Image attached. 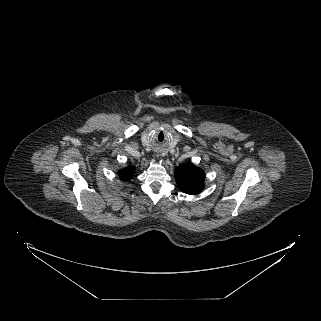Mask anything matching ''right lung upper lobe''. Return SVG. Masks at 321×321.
Returning <instances> with one entry per match:
<instances>
[{
    "mask_svg": "<svg viewBox=\"0 0 321 321\" xmlns=\"http://www.w3.org/2000/svg\"><path fill=\"white\" fill-rule=\"evenodd\" d=\"M133 175V167H129L128 169H123L119 171V176L122 180H128Z\"/></svg>",
    "mask_w": 321,
    "mask_h": 321,
    "instance_id": "obj_1",
    "label": "right lung upper lobe"
}]
</instances>
